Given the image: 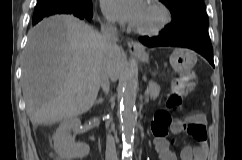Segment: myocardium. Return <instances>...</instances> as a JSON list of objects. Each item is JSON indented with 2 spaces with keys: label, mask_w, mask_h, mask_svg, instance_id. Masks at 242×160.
<instances>
[{
  "label": "myocardium",
  "mask_w": 242,
  "mask_h": 160,
  "mask_svg": "<svg viewBox=\"0 0 242 160\" xmlns=\"http://www.w3.org/2000/svg\"><path fill=\"white\" fill-rule=\"evenodd\" d=\"M148 3L160 12L161 18L153 27H133V30L143 36H156L163 32L172 21V14L168 6L160 0H148Z\"/></svg>",
  "instance_id": "obj_1"
}]
</instances>
